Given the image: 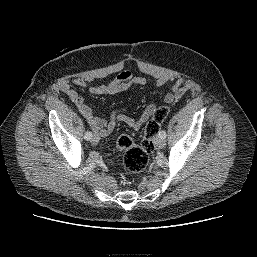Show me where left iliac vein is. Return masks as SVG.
I'll return each instance as SVG.
<instances>
[{"instance_id":"1","label":"left iliac vein","mask_w":257,"mask_h":257,"mask_svg":"<svg viewBox=\"0 0 257 257\" xmlns=\"http://www.w3.org/2000/svg\"><path fill=\"white\" fill-rule=\"evenodd\" d=\"M155 144H156V146H157L158 148H163V147H165V145H166V141H165V139H163V138H161V137H158V138L156 139V141H155Z\"/></svg>"}]
</instances>
